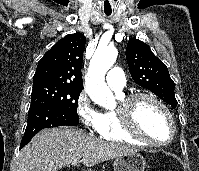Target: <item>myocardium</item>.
<instances>
[{"label": "myocardium", "instance_id": "1", "mask_svg": "<svg viewBox=\"0 0 199 171\" xmlns=\"http://www.w3.org/2000/svg\"><path fill=\"white\" fill-rule=\"evenodd\" d=\"M141 99H149L156 103L165 113L170 127H171V135L170 138L165 142H156L145 136L137 126L136 117H135V107L139 100ZM120 119L121 124L124 131L130 136L142 141L143 143L154 146V147H162L170 144L176 135V125L173 118V115L166 104L156 95L149 92H134L124 96L119 103L118 108L116 109Z\"/></svg>", "mask_w": 199, "mask_h": 171}]
</instances>
